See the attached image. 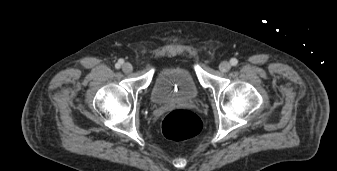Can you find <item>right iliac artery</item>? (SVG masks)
Returning a JSON list of instances; mask_svg holds the SVG:
<instances>
[{"mask_svg": "<svg viewBox=\"0 0 337 171\" xmlns=\"http://www.w3.org/2000/svg\"><path fill=\"white\" fill-rule=\"evenodd\" d=\"M121 64H123V60H119L116 64L115 67L119 69L121 67Z\"/></svg>", "mask_w": 337, "mask_h": 171, "instance_id": "1", "label": "right iliac artery"}]
</instances>
